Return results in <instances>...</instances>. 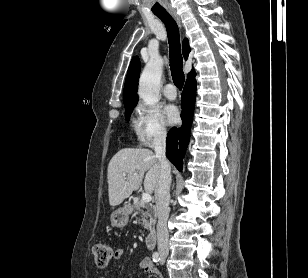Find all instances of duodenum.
<instances>
[{
    "mask_svg": "<svg viewBox=\"0 0 308 278\" xmlns=\"http://www.w3.org/2000/svg\"><path fill=\"white\" fill-rule=\"evenodd\" d=\"M157 243V233L155 231L150 232L146 236V244L149 248H153Z\"/></svg>",
    "mask_w": 308,
    "mask_h": 278,
    "instance_id": "obj_1",
    "label": "duodenum"
}]
</instances>
